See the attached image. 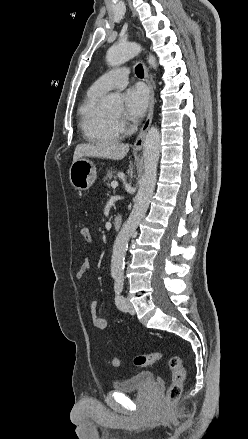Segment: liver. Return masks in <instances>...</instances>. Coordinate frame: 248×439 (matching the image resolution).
Segmentation results:
<instances>
[{
    "instance_id": "1",
    "label": "liver",
    "mask_w": 248,
    "mask_h": 439,
    "mask_svg": "<svg viewBox=\"0 0 248 439\" xmlns=\"http://www.w3.org/2000/svg\"><path fill=\"white\" fill-rule=\"evenodd\" d=\"M129 151V145L119 142H101L95 144H78L74 151L73 162L82 157L121 160Z\"/></svg>"
}]
</instances>
